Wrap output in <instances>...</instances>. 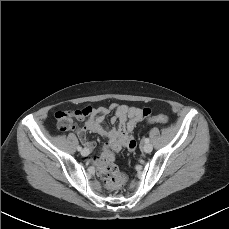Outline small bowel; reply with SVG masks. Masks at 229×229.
Masks as SVG:
<instances>
[{"label":"small bowel","instance_id":"1","mask_svg":"<svg viewBox=\"0 0 229 229\" xmlns=\"http://www.w3.org/2000/svg\"><path fill=\"white\" fill-rule=\"evenodd\" d=\"M112 110L115 111L112 122H118V126L113 129H107L103 126L104 117ZM74 113L79 120L86 118L84 125L77 128V134L87 150L94 147V143L87 139V133H98L108 138L109 148L113 153H118L123 146L127 147L130 151L135 149L136 141L130 133L144 119L140 108L113 103L109 107H87ZM89 161L98 170H101L102 161L99 157H90Z\"/></svg>","mask_w":229,"mask_h":229}]
</instances>
